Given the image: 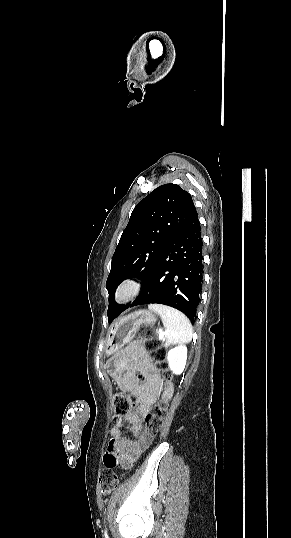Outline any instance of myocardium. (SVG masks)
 I'll return each mask as SVG.
<instances>
[{
    "mask_svg": "<svg viewBox=\"0 0 291 538\" xmlns=\"http://www.w3.org/2000/svg\"><path fill=\"white\" fill-rule=\"evenodd\" d=\"M141 289L142 283L138 279H124L115 289L114 301L118 304L126 303L138 295Z\"/></svg>",
    "mask_w": 291,
    "mask_h": 538,
    "instance_id": "1",
    "label": "myocardium"
}]
</instances>
